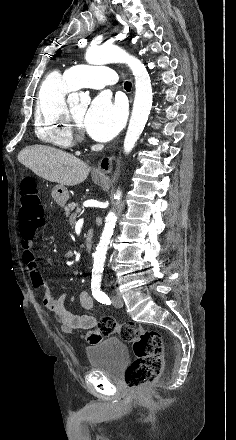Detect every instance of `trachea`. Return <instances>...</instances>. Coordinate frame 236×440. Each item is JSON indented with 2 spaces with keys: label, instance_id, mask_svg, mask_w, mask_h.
Returning a JSON list of instances; mask_svg holds the SVG:
<instances>
[{
  "label": "trachea",
  "instance_id": "3493384b",
  "mask_svg": "<svg viewBox=\"0 0 236 440\" xmlns=\"http://www.w3.org/2000/svg\"><path fill=\"white\" fill-rule=\"evenodd\" d=\"M131 87H132V84H131V82H129V81H126V82L124 83V88H125L126 90H130V89H131Z\"/></svg>",
  "mask_w": 236,
  "mask_h": 440
}]
</instances>
